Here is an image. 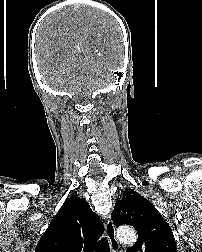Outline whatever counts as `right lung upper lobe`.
<instances>
[{
	"label": "right lung upper lobe",
	"mask_w": 202,
	"mask_h": 252,
	"mask_svg": "<svg viewBox=\"0 0 202 252\" xmlns=\"http://www.w3.org/2000/svg\"><path fill=\"white\" fill-rule=\"evenodd\" d=\"M104 227L88 203L66 199L37 244L35 252H92Z\"/></svg>",
	"instance_id": "cb5924a9"
}]
</instances>
